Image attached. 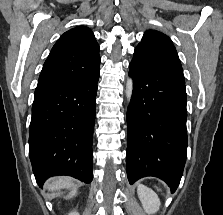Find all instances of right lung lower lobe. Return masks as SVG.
Listing matches in <instances>:
<instances>
[{"label": "right lung lower lobe", "instance_id": "right-lung-lower-lobe-1", "mask_svg": "<svg viewBox=\"0 0 223 215\" xmlns=\"http://www.w3.org/2000/svg\"><path fill=\"white\" fill-rule=\"evenodd\" d=\"M98 78L99 70L75 83L35 94L29 156L40 187L56 175L92 181Z\"/></svg>", "mask_w": 223, "mask_h": 215}]
</instances>
